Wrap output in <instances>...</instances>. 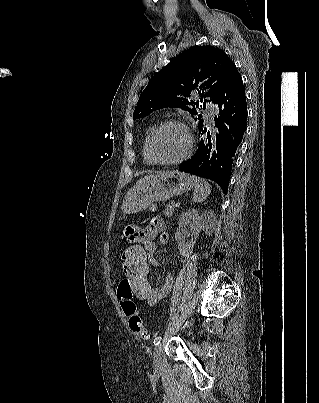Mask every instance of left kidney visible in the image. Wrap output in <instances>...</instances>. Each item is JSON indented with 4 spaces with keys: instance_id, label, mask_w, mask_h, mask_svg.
<instances>
[{
    "instance_id": "left-kidney-1",
    "label": "left kidney",
    "mask_w": 319,
    "mask_h": 403,
    "mask_svg": "<svg viewBox=\"0 0 319 403\" xmlns=\"http://www.w3.org/2000/svg\"><path fill=\"white\" fill-rule=\"evenodd\" d=\"M209 214L213 216L211 211H205L202 216H199L197 210L194 208L189 209L184 214H182L180 218V224H190L191 228L193 229L192 235L194 236V239L192 238L191 241L186 242L185 239L182 237L180 230H176L175 239L178 243V249L182 256H189L192 253L196 239L200 231L204 227L206 217Z\"/></svg>"
}]
</instances>
